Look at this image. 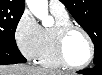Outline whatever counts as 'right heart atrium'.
<instances>
[{
	"label": "right heart atrium",
	"instance_id": "right-heart-atrium-1",
	"mask_svg": "<svg viewBox=\"0 0 102 75\" xmlns=\"http://www.w3.org/2000/svg\"><path fill=\"white\" fill-rule=\"evenodd\" d=\"M14 38L28 60L38 58L41 49V27L29 11H25L19 18L14 29Z\"/></svg>",
	"mask_w": 102,
	"mask_h": 75
}]
</instances>
